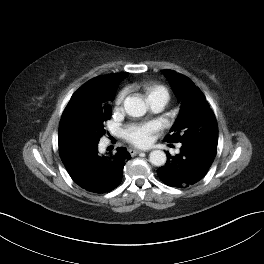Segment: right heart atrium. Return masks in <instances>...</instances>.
Returning <instances> with one entry per match:
<instances>
[{
    "label": "right heart atrium",
    "instance_id": "d8ad5b80",
    "mask_svg": "<svg viewBox=\"0 0 264 264\" xmlns=\"http://www.w3.org/2000/svg\"><path fill=\"white\" fill-rule=\"evenodd\" d=\"M125 96H126L125 91H121V92L117 95V97H116V99H115V105H116L115 109H116V110H119V109L121 108V105H122V103H123V101H124V99H125Z\"/></svg>",
    "mask_w": 264,
    "mask_h": 264
}]
</instances>
